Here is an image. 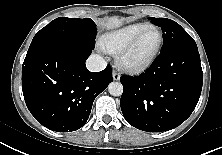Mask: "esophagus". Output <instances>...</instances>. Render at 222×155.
Masks as SVG:
<instances>
[{"label":"esophagus","instance_id":"esophagus-1","mask_svg":"<svg viewBox=\"0 0 222 155\" xmlns=\"http://www.w3.org/2000/svg\"><path fill=\"white\" fill-rule=\"evenodd\" d=\"M112 76H113V79L116 81L120 79V75L116 71H113Z\"/></svg>","mask_w":222,"mask_h":155}]
</instances>
